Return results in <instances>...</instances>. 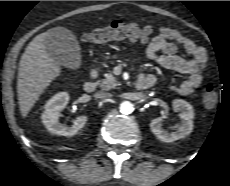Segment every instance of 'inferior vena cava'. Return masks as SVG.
<instances>
[{"instance_id": "1", "label": "inferior vena cava", "mask_w": 230, "mask_h": 186, "mask_svg": "<svg viewBox=\"0 0 230 186\" xmlns=\"http://www.w3.org/2000/svg\"><path fill=\"white\" fill-rule=\"evenodd\" d=\"M95 97H96V98H99V99H106V98L111 97V94H110V93H107V92H97V93L95 94Z\"/></svg>"}]
</instances>
